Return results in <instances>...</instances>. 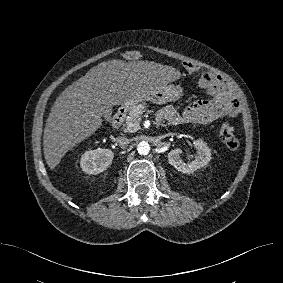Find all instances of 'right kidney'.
<instances>
[{"label":"right kidney","instance_id":"ca27d5eb","mask_svg":"<svg viewBox=\"0 0 283 283\" xmlns=\"http://www.w3.org/2000/svg\"><path fill=\"white\" fill-rule=\"evenodd\" d=\"M114 153L109 149L99 148L82 154L80 165L87 174H99L112 163Z\"/></svg>","mask_w":283,"mask_h":283}]
</instances>
